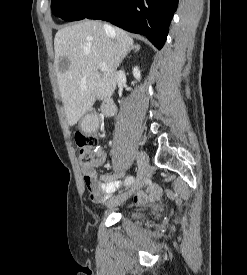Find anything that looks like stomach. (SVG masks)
Masks as SVG:
<instances>
[{
	"mask_svg": "<svg viewBox=\"0 0 247 275\" xmlns=\"http://www.w3.org/2000/svg\"><path fill=\"white\" fill-rule=\"evenodd\" d=\"M81 126H82V128H84V129H85V125H84V124H82Z\"/></svg>",
	"mask_w": 247,
	"mask_h": 275,
	"instance_id": "0dacf381",
	"label": "stomach"
}]
</instances>
